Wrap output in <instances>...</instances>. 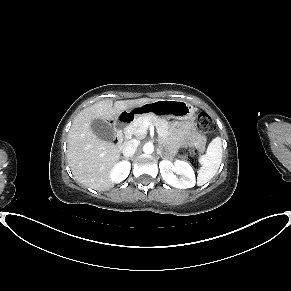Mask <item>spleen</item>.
<instances>
[{"label": "spleen", "mask_w": 291, "mask_h": 291, "mask_svg": "<svg viewBox=\"0 0 291 291\" xmlns=\"http://www.w3.org/2000/svg\"><path fill=\"white\" fill-rule=\"evenodd\" d=\"M222 161V141L220 137L213 139L208 145L206 154L200 157L201 168L198 171L197 184L204 185L217 173Z\"/></svg>", "instance_id": "obj_1"}]
</instances>
